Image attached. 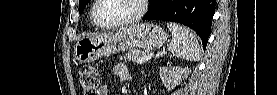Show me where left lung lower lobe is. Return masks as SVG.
<instances>
[{
	"mask_svg": "<svg viewBox=\"0 0 277 95\" xmlns=\"http://www.w3.org/2000/svg\"><path fill=\"white\" fill-rule=\"evenodd\" d=\"M216 0H152L143 20H166L189 26L200 36L205 50Z\"/></svg>",
	"mask_w": 277,
	"mask_h": 95,
	"instance_id": "obj_1",
	"label": "left lung lower lobe"
}]
</instances>
